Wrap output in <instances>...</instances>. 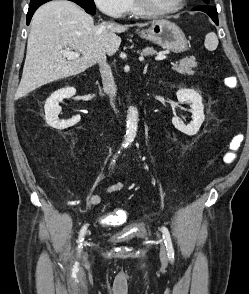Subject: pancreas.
Returning a JSON list of instances; mask_svg holds the SVG:
<instances>
[{"label": "pancreas", "instance_id": "obj_1", "mask_svg": "<svg viewBox=\"0 0 249 294\" xmlns=\"http://www.w3.org/2000/svg\"><path fill=\"white\" fill-rule=\"evenodd\" d=\"M154 50L152 48H146L143 51L144 55H148L153 53ZM173 67L172 69L180 74H187V75H192L194 74V71L192 70L193 68L197 67V62L195 61V58L193 57H187L182 60H180L179 64L175 63L172 64Z\"/></svg>", "mask_w": 249, "mask_h": 294}]
</instances>
